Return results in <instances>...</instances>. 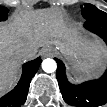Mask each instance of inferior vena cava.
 Segmentation results:
<instances>
[{
  "label": "inferior vena cava",
  "instance_id": "obj_1",
  "mask_svg": "<svg viewBox=\"0 0 107 107\" xmlns=\"http://www.w3.org/2000/svg\"><path fill=\"white\" fill-rule=\"evenodd\" d=\"M35 55H36V52L29 50V49H24L21 51V56L24 58L30 59V58L35 57Z\"/></svg>",
  "mask_w": 107,
  "mask_h": 107
}]
</instances>
